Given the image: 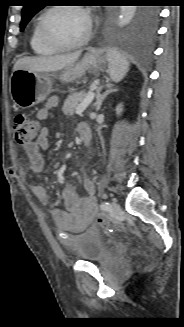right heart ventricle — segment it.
<instances>
[{"mask_svg":"<svg viewBox=\"0 0 184 327\" xmlns=\"http://www.w3.org/2000/svg\"><path fill=\"white\" fill-rule=\"evenodd\" d=\"M41 15L36 19L33 24L30 36V45L34 53L41 56H49L57 53L58 50L47 45L40 36L39 20Z\"/></svg>","mask_w":184,"mask_h":327,"instance_id":"obj_1","label":"right heart ventricle"}]
</instances>
